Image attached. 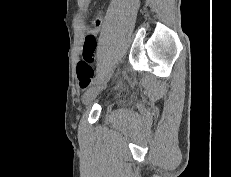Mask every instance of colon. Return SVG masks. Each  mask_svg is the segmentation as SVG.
I'll list each match as a JSON object with an SVG mask.
<instances>
[{
  "mask_svg": "<svg viewBox=\"0 0 231 177\" xmlns=\"http://www.w3.org/2000/svg\"><path fill=\"white\" fill-rule=\"evenodd\" d=\"M95 46V36L87 35L83 46L82 59L77 64V78L81 88L87 87L94 76L92 62Z\"/></svg>",
  "mask_w": 231,
  "mask_h": 177,
  "instance_id": "5ec220e1",
  "label": "colon"
}]
</instances>
